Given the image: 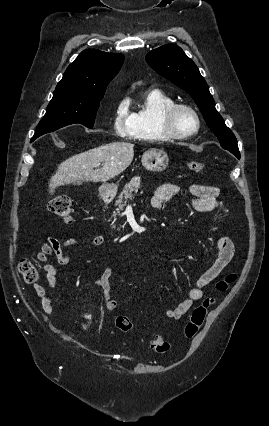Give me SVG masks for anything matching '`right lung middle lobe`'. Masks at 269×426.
I'll use <instances>...</instances> for the list:
<instances>
[{"label":"right lung middle lobe","mask_w":269,"mask_h":426,"mask_svg":"<svg viewBox=\"0 0 269 426\" xmlns=\"http://www.w3.org/2000/svg\"><path fill=\"white\" fill-rule=\"evenodd\" d=\"M102 98L103 96L90 99H72L61 94H53V98L47 107L46 114L39 122L31 142L43 134L55 131L70 124L79 123L88 128H92Z\"/></svg>","instance_id":"right-lung-middle-lobe-1"}]
</instances>
